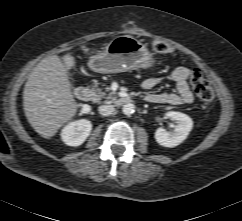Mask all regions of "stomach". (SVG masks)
<instances>
[{"label":"stomach","instance_id":"0dacf381","mask_svg":"<svg viewBox=\"0 0 242 221\" xmlns=\"http://www.w3.org/2000/svg\"><path fill=\"white\" fill-rule=\"evenodd\" d=\"M156 64L147 46L132 36H118L104 51L90 57L88 66L97 73H119L137 68H151Z\"/></svg>","mask_w":242,"mask_h":221}]
</instances>
